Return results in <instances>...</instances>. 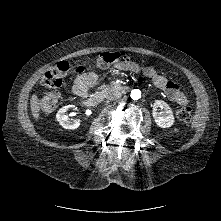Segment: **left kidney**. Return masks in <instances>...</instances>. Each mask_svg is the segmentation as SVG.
<instances>
[{"instance_id": "5707ae66", "label": "left kidney", "mask_w": 221, "mask_h": 221, "mask_svg": "<svg viewBox=\"0 0 221 221\" xmlns=\"http://www.w3.org/2000/svg\"><path fill=\"white\" fill-rule=\"evenodd\" d=\"M158 107L165 110L164 114L156 112ZM152 115L154 117L155 123L161 128H169L174 124L173 112L169 105L162 100H156L154 102Z\"/></svg>"}]
</instances>
